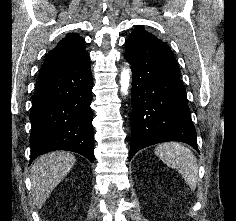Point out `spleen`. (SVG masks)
<instances>
[{"label": "spleen", "instance_id": "1", "mask_svg": "<svg viewBox=\"0 0 236 221\" xmlns=\"http://www.w3.org/2000/svg\"><path fill=\"white\" fill-rule=\"evenodd\" d=\"M155 154L168 166L178 170L187 185L195 190L199 178L197 159L193 152L178 142L158 144Z\"/></svg>", "mask_w": 236, "mask_h": 221}]
</instances>
